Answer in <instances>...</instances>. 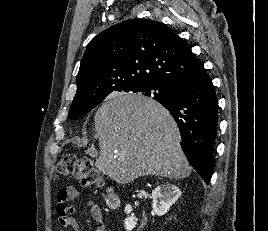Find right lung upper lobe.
<instances>
[{"label":"right lung upper lobe","mask_w":268,"mask_h":231,"mask_svg":"<svg viewBox=\"0 0 268 231\" xmlns=\"http://www.w3.org/2000/svg\"><path fill=\"white\" fill-rule=\"evenodd\" d=\"M203 69L191 48L166 25L149 19L126 20L87 45L73 103L89 105L114 91L148 83L169 87Z\"/></svg>","instance_id":"1"}]
</instances>
